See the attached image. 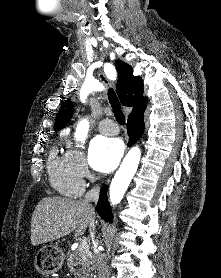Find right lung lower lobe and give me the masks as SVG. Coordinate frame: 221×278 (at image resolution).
<instances>
[{"label": "right lung lower lobe", "instance_id": "98d812e1", "mask_svg": "<svg viewBox=\"0 0 221 278\" xmlns=\"http://www.w3.org/2000/svg\"><path fill=\"white\" fill-rule=\"evenodd\" d=\"M144 130V119L143 117H135L128 119L127 132L129 134V143L128 146H132L142 135ZM107 186H102L100 190L99 200L96 206V211L98 214L107 222L113 221L112 210L110 204L106 197Z\"/></svg>", "mask_w": 221, "mask_h": 278}]
</instances>
